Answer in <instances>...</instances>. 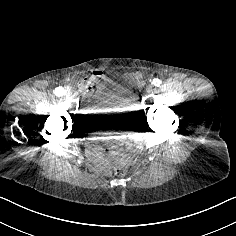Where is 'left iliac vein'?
I'll return each mask as SVG.
<instances>
[{"label":"left iliac vein","mask_w":236,"mask_h":236,"mask_svg":"<svg viewBox=\"0 0 236 236\" xmlns=\"http://www.w3.org/2000/svg\"><path fill=\"white\" fill-rule=\"evenodd\" d=\"M146 92H147V94H149V95H152V94H154V92H155V89H154V87H152V86H146Z\"/></svg>","instance_id":"4c4485c4"}]
</instances>
